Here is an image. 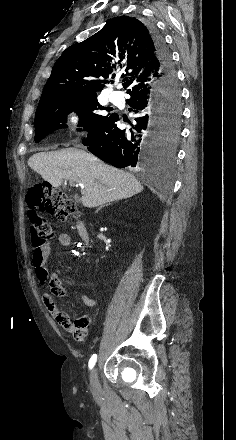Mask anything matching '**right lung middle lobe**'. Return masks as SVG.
<instances>
[{
    "label": "right lung middle lobe",
    "mask_w": 236,
    "mask_h": 440,
    "mask_svg": "<svg viewBox=\"0 0 236 440\" xmlns=\"http://www.w3.org/2000/svg\"><path fill=\"white\" fill-rule=\"evenodd\" d=\"M161 92L171 104L166 110L164 127L159 134V144L162 147L160 159H171L174 156L179 136L180 90L178 86H174L166 87ZM101 110L108 111L98 103L97 94H69L46 98L39 102L36 110L35 142H40L53 130L67 127L66 115L70 111L78 113L80 117L78 126L89 131L111 115H103Z\"/></svg>",
    "instance_id": "1"
}]
</instances>
